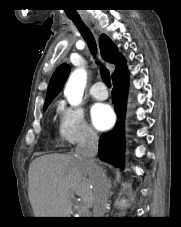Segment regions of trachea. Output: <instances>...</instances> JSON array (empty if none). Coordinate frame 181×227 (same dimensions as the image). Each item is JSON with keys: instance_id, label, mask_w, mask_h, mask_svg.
I'll list each match as a JSON object with an SVG mask.
<instances>
[{"instance_id": "1", "label": "trachea", "mask_w": 181, "mask_h": 227, "mask_svg": "<svg viewBox=\"0 0 181 227\" xmlns=\"http://www.w3.org/2000/svg\"><path fill=\"white\" fill-rule=\"evenodd\" d=\"M72 21L78 28V30L81 33L84 40L86 41L92 54L96 55V52H97L96 42H95L94 36L91 33L90 29L83 23V21L81 19H79V20L72 19ZM101 77H102V80L104 81V83L108 87H111L110 72L104 67L101 68Z\"/></svg>"}]
</instances>
